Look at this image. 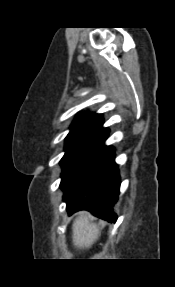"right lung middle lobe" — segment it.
Masks as SVG:
<instances>
[{"label":"right lung middle lobe","mask_w":175,"mask_h":287,"mask_svg":"<svg viewBox=\"0 0 175 287\" xmlns=\"http://www.w3.org/2000/svg\"><path fill=\"white\" fill-rule=\"evenodd\" d=\"M109 129L83 127L72 129L66 137L65 155L60 161L62 180L108 137Z\"/></svg>","instance_id":"1"}]
</instances>
